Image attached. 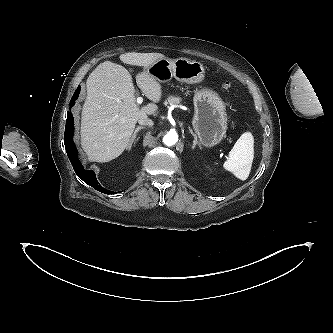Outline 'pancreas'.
Instances as JSON below:
<instances>
[{"label":"pancreas","instance_id":"pancreas-1","mask_svg":"<svg viewBox=\"0 0 333 333\" xmlns=\"http://www.w3.org/2000/svg\"><path fill=\"white\" fill-rule=\"evenodd\" d=\"M180 98L179 97H174V96H170L168 97V99L165 101V104H179L180 103Z\"/></svg>","mask_w":333,"mask_h":333}]
</instances>
